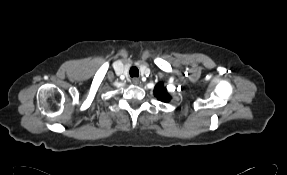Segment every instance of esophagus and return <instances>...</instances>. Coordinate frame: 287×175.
Here are the masks:
<instances>
[{"label": "esophagus", "instance_id": "obj_1", "mask_svg": "<svg viewBox=\"0 0 287 175\" xmlns=\"http://www.w3.org/2000/svg\"><path fill=\"white\" fill-rule=\"evenodd\" d=\"M132 82H133V84H138L139 83V79L138 78H133Z\"/></svg>", "mask_w": 287, "mask_h": 175}]
</instances>
